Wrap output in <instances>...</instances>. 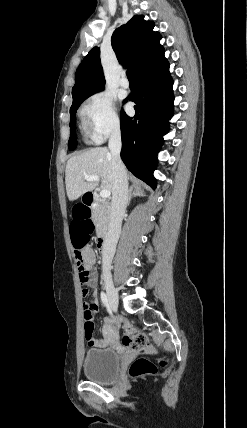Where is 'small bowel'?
<instances>
[{
    "label": "small bowel",
    "mask_w": 247,
    "mask_h": 428,
    "mask_svg": "<svg viewBox=\"0 0 247 428\" xmlns=\"http://www.w3.org/2000/svg\"><path fill=\"white\" fill-rule=\"evenodd\" d=\"M82 255H83V259L89 265L90 270H91V278H90V281L87 283L86 286L92 288L93 293H92L91 300L89 302H87V304L92 308L93 315H95L98 311V306H99L98 294L96 291L98 277H97V272L94 268L96 257H95L94 251L89 247L85 248L82 251ZM109 327H110V324L106 323V328H109ZM109 342L110 341L108 338H103V339H94L93 338L92 341L87 342V343L89 346L106 347L109 344Z\"/></svg>",
    "instance_id": "1"
}]
</instances>
